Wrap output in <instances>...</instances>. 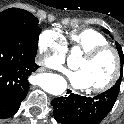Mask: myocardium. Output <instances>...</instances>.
I'll return each mask as SVG.
<instances>
[{
    "mask_svg": "<svg viewBox=\"0 0 124 124\" xmlns=\"http://www.w3.org/2000/svg\"><path fill=\"white\" fill-rule=\"evenodd\" d=\"M106 51L112 52V54L114 56V61H115L114 72H113L111 78L105 84L98 86V87L90 88V91L92 93L100 94V93H104V92L110 90L112 87L115 86V84L119 81V79L122 75L123 63H122L121 55H120L119 51L110 44L95 46V47L87 50L85 53H83L82 58L94 59Z\"/></svg>",
    "mask_w": 124,
    "mask_h": 124,
    "instance_id": "obj_1",
    "label": "myocardium"
}]
</instances>
